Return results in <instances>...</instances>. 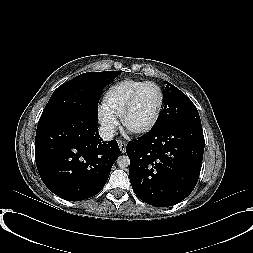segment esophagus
Returning <instances> with one entry per match:
<instances>
[{
    "instance_id": "34e87169",
    "label": "esophagus",
    "mask_w": 253,
    "mask_h": 253,
    "mask_svg": "<svg viewBox=\"0 0 253 253\" xmlns=\"http://www.w3.org/2000/svg\"><path fill=\"white\" fill-rule=\"evenodd\" d=\"M118 144H119V148H120L121 153L124 154L126 152V146H127L126 142L119 140Z\"/></svg>"
}]
</instances>
